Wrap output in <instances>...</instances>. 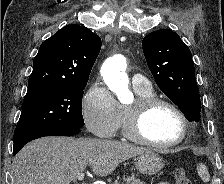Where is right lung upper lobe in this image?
Listing matches in <instances>:
<instances>
[{
  "instance_id": "right-lung-upper-lobe-1",
  "label": "right lung upper lobe",
  "mask_w": 224,
  "mask_h": 184,
  "mask_svg": "<svg viewBox=\"0 0 224 184\" xmlns=\"http://www.w3.org/2000/svg\"><path fill=\"white\" fill-rule=\"evenodd\" d=\"M101 39L88 28L69 24L45 40L34 58L28 84L87 83Z\"/></svg>"
}]
</instances>
